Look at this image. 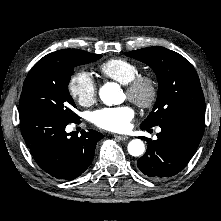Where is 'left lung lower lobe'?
<instances>
[{"label":"left lung lower lobe","mask_w":221,"mask_h":221,"mask_svg":"<svg viewBox=\"0 0 221 221\" xmlns=\"http://www.w3.org/2000/svg\"><path fill=\"white\" fill-rule=\"evenodd\" d=\"M159 126L158 139L152 142L146 138L147 151L137 162L138 168L153 179L176 175L188 164L204 133L205 112L181 114Z\"/></svg>","instance_id":"obj_1"}]
</instances>
